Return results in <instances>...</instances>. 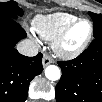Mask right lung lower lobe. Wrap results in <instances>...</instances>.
Masks as SVG:
<instances>
[{
    "label": "right lung lower lobe",
    "mask_w": 102,
    "mask_h": 102,
    "mask_svg": "<svg viewBox=\"0 0 102 102\" xmlns=\"http://www.w3.org/2000/svg\"><path fill=\"white\" fill-rule=\"evenodd\" d=\"M26 37L24 29L11 18L0 20V101L24 102L30 81L42 70V54L21 55L14 46Z\"/></svg>",
    "instance_id": "98d812e1"
}]
</instances>
